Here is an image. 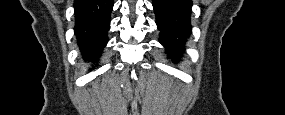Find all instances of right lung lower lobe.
<instances>
[{"mask_svg":"<svg viewBox=\"0 0 285 115\" xmlns=\"http://www.w3.org/2000/svg\"><path fill=\"white\" fill-rule=\"evenodd\" d=\"M112 0H75L74 33L83 58L97 62L108 42Z\"/></svg>","mask_w":285,"mask_h":115,"instance_id":"right-lung-lower-lobe-1","label":"right lung lower lobe"}]
</instances>
